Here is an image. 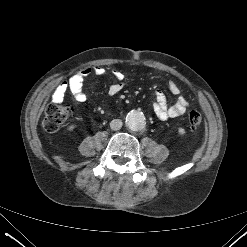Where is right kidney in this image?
Masks as SVG:
<instances>
[{"instance_id": "obj_1", "label": "right kidney", "mask_w": 247, "mask_h": 247, "mask_svg": "<svg viewBox=\"0 0 247 247\" xmlns=\"http://www.w3.org/2000/svg\"><path fill=\"white\" fill-rule=\"evenodd\" d=\"M74 128H75V125H70V126L68 127V130H69V131H72Z\"/></svg>"}]
</instances>
